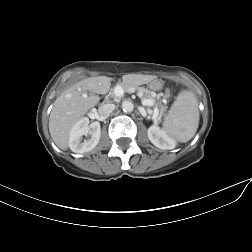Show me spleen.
<instances>
[{
    "label": "spleen",
    "instance_id": "obj_1",
    "mask_svg": "<svg viewBox=\"0 0 252 252\" xmlns=\"http://www.w3.org/2000/svg\"><path fill=\"white\" fill-rule=\"evenodd\" d=\"M199 125L198 102L193 92L179 93L163 123L164 131L179 142L189 141Z\"/></svg>",
    "mask_w": 252,
    "mask_h": 252
}]
</instances>
